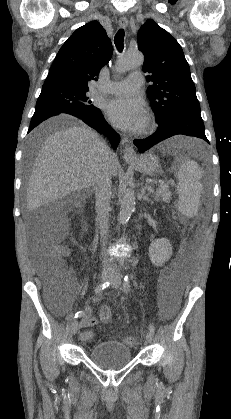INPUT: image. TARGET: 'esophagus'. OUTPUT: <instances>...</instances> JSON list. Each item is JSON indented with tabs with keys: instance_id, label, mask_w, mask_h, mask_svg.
I'll return each instance as SVG.
<instances>
[{
	"instance_id": "obj_1",
	"label": "esophagus",
	"mask_w": 231,
	"mask_h": 419,
	"mask_svg": "<svg viewBox=\"0 0 231 419\" xmlns=\"http://www.w3.org/2000/svg\"><path fill=\"white\" fill-rule=\"evenodd\" d=\"M119 25L122 28H126L128 25V20L126 17H121L119 19ZM122 145H124V149H123V157L126 161H133L134 159H136L137 155H136V151L134 149V147L130 144L129 140L127 138H124L122 140Z\"/></svg>"
}]
</instances>
